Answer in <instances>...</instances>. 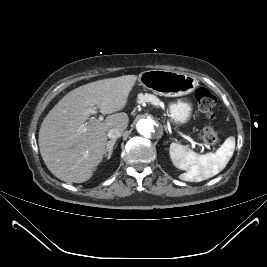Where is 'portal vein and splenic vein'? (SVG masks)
Wrapping results in <instances>:
<instances>
[{
    "label": "portal vein and splenic vein",
    "instance_id": "1",
    "mask_svg": "<svg viewBox=\"0 0 267 267\" xmlns=\"http://www.w3.org/2000/svg\"><path fill=\"white\" fill-rule=\"evenodd\" d=\"M96 110H97V108H89L88 109V112L91 113V114H93V113H96L97 112ZM92 119H94V118H92ZM100 120H102V118H100ZM82 128L83 129H86V126L85 125H82ZM186 139L191 143L192 148H195L196 147V142H194L193 140H191V139H189L187 137H186Z\"/></svg>",
    "mask_w": 267,
    "mask_h": 267
}]
</instances>
